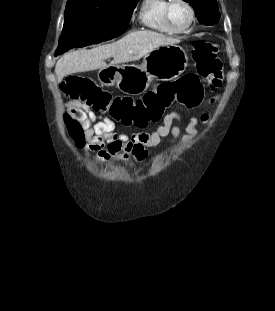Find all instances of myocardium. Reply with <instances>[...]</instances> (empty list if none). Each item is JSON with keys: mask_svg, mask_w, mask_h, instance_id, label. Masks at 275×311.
Returning <instances> with one entry per match:
<instances>
[{"mask_svg": "<svg viewBox=\"0 0 275 311\" xmlns=\"http://www.w3.org/2000/svg\"><path fill=\"white\" fill-rule=\"evenodd\" d=\"M175 2L183 3L190 12V20H189V23L185 27H182V28L176 27L170 18V9ZM164 17H165L167 24L174 31H176L177 33H183V32L188 31L194 24L195 19H196V12H195L194 7L191 5V3L188 0H168V4L166 5L165 10H164Z\"/></svg>", "mask_w": 275, "mask_h": 311, "instance_id": "myocardium-1", "label": "myocardium"}]
</instances>
